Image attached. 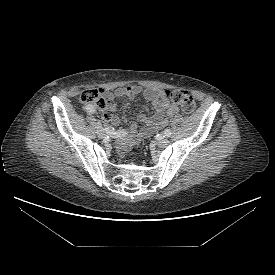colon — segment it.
<instances>
[{
  "instance_id": "1",
  "label": "colon",
  "mask_w": 275,
  "mask_h": 275,
  "mask_svg": "<svg viewBox=\"0 0 275 275\" xmlns=\"http://www.w3.org/2000/svg\"><path fill=\"white\" fill-rule=\"evenodd\" d=\"M163 97L174 104L181 107L182 111L189 114L195 109L194 98L185 90H165ZM80 100L86 105H93L99 109H102L106 105V100L97 89L84 90L80 95Z\"/></svg>"
}]
</instances>
